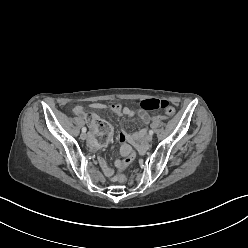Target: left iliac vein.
I'll return each mask as SVG.
<instances>
[{"label": "left iliac vein", "instance_id": "1", "mask_svg": "<svg viewBox=\"0 0 248 248\" xmlns=\"http://www.w3.org/2000/svg\"><path fill=\"white\" fill-rule=\"evenodd\" d=\"M146 140L148 141V142H151L152 141V135H147V137H146Z\"/></svg>", "mask_w": 248, "mask_h": 248}]
</instances>
